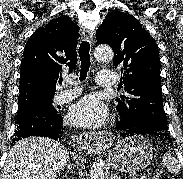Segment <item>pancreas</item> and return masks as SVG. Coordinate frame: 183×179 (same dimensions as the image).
Listing matches in <instances>:
<instances>
[{
	"label": "pancreas",
	"instance_id": "1",
	"mask_svg": "<svg viewBox=\"0 0 183 179\" xmlns=\"http://www.w3.org/2000/svg\"><path fill=\"white\" fill-rule=\"evenodd\" d=\"M147 179H160V176L159 175H155V176H152V177H148Z\"/></svg>",
	"mask_w": 183,
	"mask_h": 179
}]
</instances>
